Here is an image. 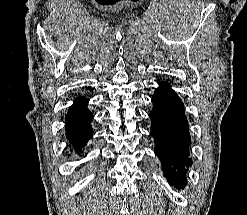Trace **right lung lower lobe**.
I'll use <instances>...</instances> for the list:
<instances>
[{"label": "right lung lower lobe", "mask_w": 247, "mask_h": 215, "mask_svg": "<svg viewBox=\"0 0 247 215\" xmlns=\"http://www.w3.org/2000/svg\"><path fill=\"white\" fill-rule=\"evenodd\" d=\"M88 99L77 98L66 115V136L75 149L86 144L92 136L93 115L87 109Z\"/></svg>", "instance_id": "1"}]
</instances>
